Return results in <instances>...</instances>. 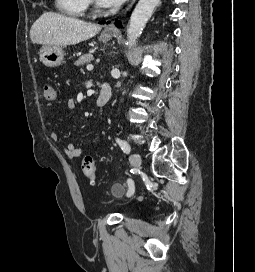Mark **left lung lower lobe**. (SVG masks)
<instances>
[{
	"mask_svg": "<svg viewBox=\"0 0 255 272\" xmlns=\"http://www.w3.org/2000/svg\"><path fill=\"white\" fill-rule=\"evenodd\" d=\"M100 24H103V23H105L104 21H102V22H99ZM118 27H120L121 26V24L120 23H117L116 24Z\"/></svg>",
	"mask_w": 255,
	"mask_h": 272,
	"instance_id": "1",
	"label": "left lung lower lobe"
}]
</instances>
